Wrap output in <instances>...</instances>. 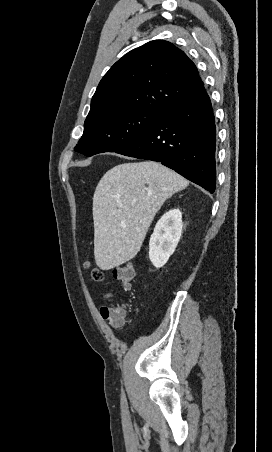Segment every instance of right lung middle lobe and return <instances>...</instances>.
<instances>
[{
	"label": "right lung middle lobe",
	"mask_w": 272,
	"mask_h": 452,
	"mask_svg": "<svg viewBox=\"0 0 272 452\" xmlns=\"http://www.w3.org/2000/svg\"><path fill=\"white\" fill-rule=\"evenodd\" d=\"M162 111L129 109L85 121L75 151L86 156L118 152L141 137Z\"/></svg>",
	"instance_id": "obj_1"
}]
</instances>
